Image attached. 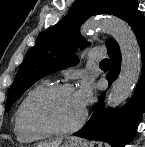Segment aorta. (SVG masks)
<instances>
[{
	"mask_svg": "<svg viewBox=\"0 0 145 147\" xmlns=\"http://www.w3.org/2000/svg\"><path fill=\"white\" fill-rule=\"evenodd\" d=\"M108 32L118 43L122 56L121 71L108 95L107 107L116 108L133 92L141 73V53L132 29L121 19L109 16L85 23L84 33Z\"/></svg>",
	"mask_w": 145,
	"mask_h": 147,
	"instance_id": "aorta-1",
	"label": "aorta"
}]
</instances>
